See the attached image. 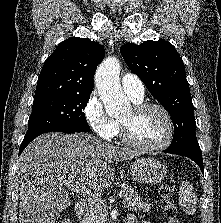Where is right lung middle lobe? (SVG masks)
Returning a JSON list of instances; mask_svg holds the SVG:
<instances>
[{
	"mask_svg": "<svg viewBox=\"0 0 221 223\" xmlns=\"http://www.w3.org/2000/svg\"><path fill=\"white\" fill-rule=\"evenodd\" d=\"M90 94L55 95L34 99L26 135L52 129L89 132L90 127L83 110Z\"/></svg>",
	"mask_w": 221,
	"mask_h": 223,
	"instance_id": "obj_1",
	"label": "right lung middle lobe"
}]
</instances>
